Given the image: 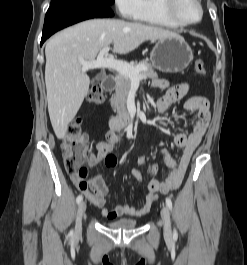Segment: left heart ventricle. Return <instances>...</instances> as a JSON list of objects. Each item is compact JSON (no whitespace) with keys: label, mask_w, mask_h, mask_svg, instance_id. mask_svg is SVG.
Returning a JSON list of instances; mask_svg holds the SVG:
<instances>
[{"label":"left heart ventricle","mask_w":247,"mask_h":265,"mask_svg":"<svg viewBox=\"0 0 247 265\" xmlns=\"http://www.w3.org/2000/svg\"><path fill=\"white\" fill-rule=\"evenodd\" d=\"M177 10L185 21H195L199 18V8L194 0H180Z\"/></svg>","instance_id":"obj_1"}]
</instances>
